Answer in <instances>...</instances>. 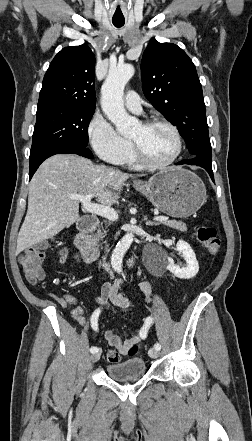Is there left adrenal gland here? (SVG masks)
Returning <instances> with one entry per match:
<instances>
[{
    "mask_svg": "<svg viewBox=\"0 0 252 441\" xmlns=\"http://www.w3.org/2000/svg\"><path fill=\"white\" fill-rule=\"evenodd\" d=\"M145 220H146V225L147 226H157L158 225V223H156V222L148 221L147 217H145Z\"/></svg>",
    "mask_w": 252,
    "mask_h": 441,
    "instance_id": "obj_1",
    "label": "left adrenal gland"
}]
</instances>
